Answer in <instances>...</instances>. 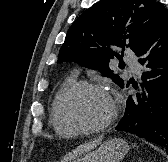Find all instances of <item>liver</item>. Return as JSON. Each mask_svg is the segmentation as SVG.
I'll use <instances>...</instances> for the list:
<instances>
[{"label":"liver","mask_w":168,"mask_h":162,"mask_svg":"<svg viewBox=\"0 0 168 162\" xmlns=\"http://www.w3.org/2000/svg\"><path fill=\"white\" fill-rule=\"evenodd\" d=\"M102 141V138H99L95 141L85 143L83 145L78 146L76 149H74L72 152L68 153L61 162H69L71 159L78 157L79 155H82L92 149H94L96 146L100 144Z\"/></svg>","instance_id":"1"}]
</instances>
